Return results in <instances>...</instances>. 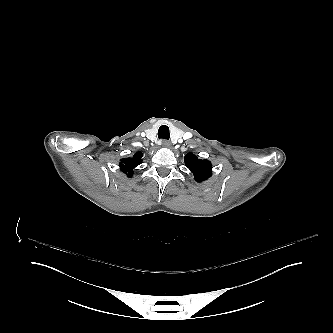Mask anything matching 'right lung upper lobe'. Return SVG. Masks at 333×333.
I'll use <instances>...</instances> for the list:
<instances>
[{"label":"right lung upper lobe","instance_id":"1","mask_svg":"<svg viewBox=\"0 0 333 333\" xmlns=\"http://www.w3.org/2000/svg\"><path fill=\"white\" fill-rule=\"evenodd\" d=\"M142 162V152H136L132 158L121 159L120 168L128 177L133 175V169Z\"/></svg>","mask_w":333,"mask_h":333}]
</instances>
